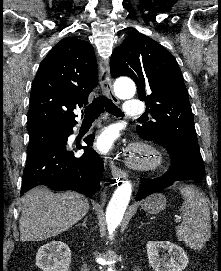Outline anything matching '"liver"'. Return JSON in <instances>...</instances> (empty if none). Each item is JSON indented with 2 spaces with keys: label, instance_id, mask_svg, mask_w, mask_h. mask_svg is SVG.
Segmentation results:
<instances>
[{
  "label": "liver",
  "instance_id": "6515ba94",
  "mask_svg": "<svg viewBox=\"0 0 221 271\" xmlns=\"http://www.w3.org/2000/svg\"><path fill=\"white\" fill-rule=\"evenodd\" d=\"M19 219L20 241H42L70 229L89 211V201L82 193H52L48 187H33L22 195Z\"/></svg>",
  "mask_w": 221,
  "mask_h": 271
}]
</instances>
